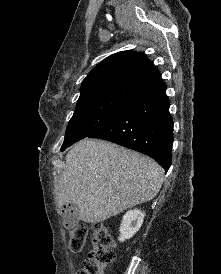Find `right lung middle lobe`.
<instances>
[{
    "label": "right lung middle lobe",
    "mask_w": 221,
    "mask_h": 274,
    "mask_svg": "<svg viewBox=\"0 0 221 274\" xmlns=\"http://www.w3.org/2000/svg\"><path fill=\"white\" fill-rule=\"evenodd\" d=\"M132 101L121 97H95L78 100L61 150L103 127Z\"/></svg>",
    "instance_id": "1"
}]
</instances>
